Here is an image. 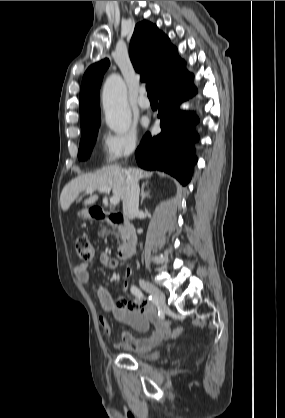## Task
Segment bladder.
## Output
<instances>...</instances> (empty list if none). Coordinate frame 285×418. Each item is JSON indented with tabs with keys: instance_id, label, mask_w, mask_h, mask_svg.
<instances>
[{
	"instance_id": "1",
	"label": "bladder",
	"mask_w": 285,
	"mask_h": 418,
	"mask_svg": "<svg viewBox=\"0 0 285 418\" xmlns=\"http://www.w3.org/2000/svg\"><path fill=\"white\" fill-rule=\"evenodd\" d=\"M131 357L144 360V361H150L155 359L158 354L151 350H133L129 354Z\"/></svg>"
}]
</instances>
